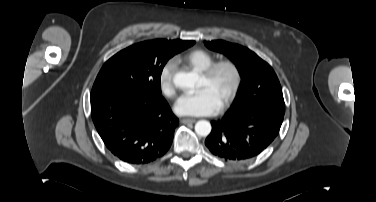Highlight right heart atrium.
Returning <instances> with one entry per match:
<instances>
[{
  "instance_id": "1",
  "label": "right heart atrium",
  "mask_w": 376,
  "mask_h": 202,
  "mask_svg": "<svg viewBox=\"0 0 376 202\" xmlns=\"http://www.w3.org/2000/svg\"><path fill=\"white\" fill-rule=\"evenodd\" d=\"M175 73V63L168 60L160 69L158 83L160 91L169 98L174 97L176 93L173 77Z\"/></svg>"
}]
</instances>
